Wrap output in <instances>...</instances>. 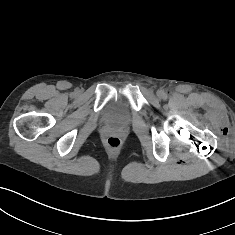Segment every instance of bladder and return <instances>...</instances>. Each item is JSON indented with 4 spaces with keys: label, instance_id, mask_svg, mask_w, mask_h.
<instances>
[{
    "label": "bladder",
    "instance_id": "bladder-1",
    "mask_svg": "<svg viewBox=\"0 0 235 235\" xmlns=\"http://www.w3.org/2000/svg\"><path fill=\"white\" fill-rule=\"evenodd\" d=\"M103 118L110 124H122L130 118V105L128 100L123 97L111 99L103 109Z\"/></svg>",
    "mask_w": 235,
    "mask_h": 235
}]
</instances>
